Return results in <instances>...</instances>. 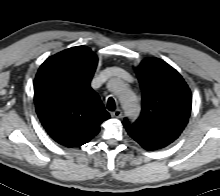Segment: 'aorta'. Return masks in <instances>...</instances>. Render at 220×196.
<instances>
[{"instance_id": "762f6f07", "label": "aorta", "mask_w": 220, "mask_h": 196, "mask_svg": "<svg viewBox=\"0 0 220 196\" xmlns=\"http://www.w3.org/2000/svg\"><path fill=\"white\" fill-rule=\"evenodd\" d=\"M110 87L120 99L126 116L134 118L138 115L139 105L136 95L122 81L114 79L110 81Z\"/></svg>"}]
</instances>
